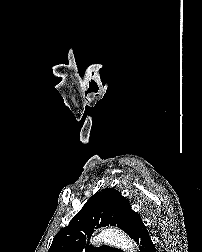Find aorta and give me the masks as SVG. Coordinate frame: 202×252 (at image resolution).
Wrapping results in <instances>:
<instances>
[{
  "instance_id": "obj_1",
  "label": "aorta",
  "mask_w": 202,
  "mask_h": 252,
  "mask_svg": "<svg viewBox=\"0 0 202 252\" xmlns=\"http://www.w3.org/2000/svg\"><path fill=\"white\" fill-rule=\"evenodd\" d=\"M101 242L120 248L124 252L135 251L133 241L124 232L118 229H104L93 238V244Z\"/></svg>"
}]
</instances>
